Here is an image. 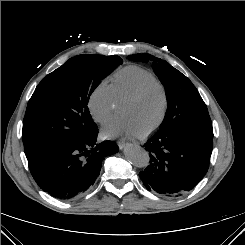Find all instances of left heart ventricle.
Returning a JSON list of instances; mask_svg holds the SVG:
<instances>
[{"label": "left heart ventricle", "instance_id": "obj_1", "mask_svg": "<svg viewBox=\"0 0 245 245\" xmlns=\"http://www.w3.org/2000/svg\"><path fill=\"white\" fill-rule=\"evenodd\" d=\"M162 106L163 97L160 89L150 86L136 100L123 104L120 112L141 134L157 121Z\"/></svg>", "mask_w": 245, "mask_h": 245}]
</instances>
